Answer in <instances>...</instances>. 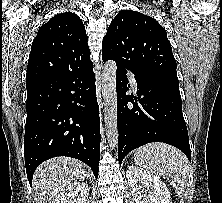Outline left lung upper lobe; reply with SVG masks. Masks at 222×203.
Returning a JSON list of instances; mask_svg holds the SVG:
<instances>
[{"label": "left lung upper lobe", "mask_w": 222, "mask_h": 203, "mask_svg": "<svg viewBox=\"0 0 222 203\" xmlns=\"http://www.w3.org/2000/svg\"><path fill=\"white\" fill-rule=\"evenodd\" d=\"M102 57L136 74L177 78L176 60L164 28L142 13L122 10L103 38Z\"/></svg>", "instance_id": "5c2ea615"}]
</instances>
